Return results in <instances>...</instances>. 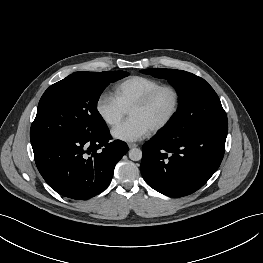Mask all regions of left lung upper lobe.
<instances>
[{"instance_id":"1","label":"left lung upper lobe","mask_w":263,"mask_h":263,"mask_svg":"<svg viewBox=\"0 0 263 263\" xmlns=\"http://www.w3.org/2000/svg\"><path fill=\"white\" fill-rule=\"evenodd\" d=\"M142 73L165 78L179 95L177 112L164 130L190 133L206 128L228 126L218 95L202 78L182 70L146 69Z\"/></svg>"}]
</instances>
